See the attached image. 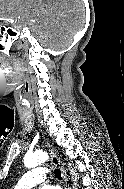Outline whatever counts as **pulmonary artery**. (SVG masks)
Wrapping results in <instances>:
<instances>
[{"mask_svg":"<svg viewBox=\"0 0 124 189\" xmlns=\"http://www.w3.org/2000/svg\"><path fill=\"white\" fill-rule=\"evenodd\" d=\"M48 169L35 168L24 174L16 183L17 189H30L31 187L42 183L47 178Z\"/></svg>","mask_w":124,"mask_h":189,"instance_id":"obj_1","label":"pulmonary artery"}]
</instances>
